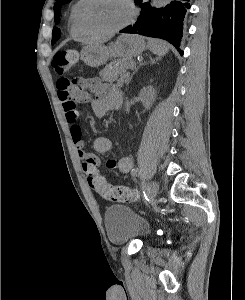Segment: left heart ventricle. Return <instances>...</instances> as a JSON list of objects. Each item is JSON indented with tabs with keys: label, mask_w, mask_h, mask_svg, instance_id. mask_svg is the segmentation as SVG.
<instances>
[{
	"label": "left heart ventricle",
	"mask_w": 245,
	"mask_h": 300,
	"mask_svg": "<svg viewBox=\"0 0 245 300\" xmlns=\"http://www.w3.org/2000/svg\"><path fill=\"white\" fill-rule=\"evenodd\" d=\"M130 16L125 0H92L87 6L84 18L92 30H110L123 24Z\"/></svg>",
	"instance_id": "b2bd125f"
}]
</instances>
